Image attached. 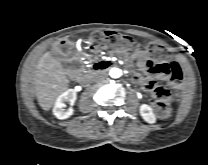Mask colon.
<instances>
[{
	"mask_svg": "<svg viewBox=\"0 0 208 165\" xmlns=\"http://www.w3.org/2000/svg\"><path fill=\"white\" fill-rule=\"evenodd\" d=\"M92 44L96 48L108 47L119 51H125L135 46V41L128 35L107 31L104 33H96L91 38ZM148 53L154 61H164L169 57V51L163 45L150 43L147 45ZM53 52L61 57H68L73 53L72 44L68 40H61L53 47ZM170 93L164 87H158L155 90V99L153 106L159 116H165L169 112Z\"/></svg>",
	"mask_w": 208,
	"mask_h": 165,
	"instance_id": "colon-1",
	"label": "colon"
}]
</instances>
